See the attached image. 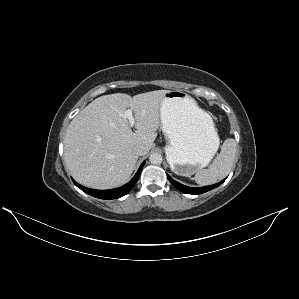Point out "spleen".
I'll use <instances>...</instances> for the list:
<instances>
[{
	"label": "spleen",
	"mask_w": 299,
	"mask_h": 299,
	"mask_svg": "<svg viewBox=\"0 0 299 299\" xmlns=\"http://www.w3.org/2000/svg\"><path fill=\"white\" fill-rule=\"evenodd\" d=\"M237 145L233 138H228L221 146L220 153L207 169H201L195 174V182L201 186L215 184L218 180L225 178L232 169Z\"/></svg>",
	"instance_id": "3e777b00"
}]
</instances>
